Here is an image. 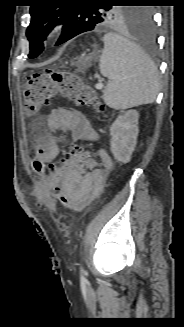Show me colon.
<instances>
[{
	"instance_id": "5ec220e1",
	"label": "colon",
	"mask_w": 184,
	"mask_h": 327,
	"mask_svg": "<svg viewBox=\"0 0 184 327\" xmlns=\"http://www.w3.org/2000/svg\"><path fill=\"white\" fill-rule=\"evenodd\" d=\"M57 96L67 98L79 106H89L97 111H103L94 90L80 76L68 71L47 70L31 76L25 84L23 90L25 114L27 116L37 114ZM71 151L74 154L92 155L81 146H75ZM50 201L59 202L63 207L74 211L82 210L89 203L76 200L61 191L53 193Z\"/></svg>"
}]
</instances>
